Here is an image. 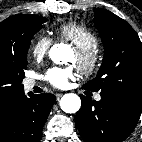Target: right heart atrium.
<instances>
[{"instance_id":"d8ad5b80","label":"right heart atrium","mask_w":142,"mask_h":142,"mask_svg":"<svg viewBox=\"0 0 142 142\" xmlns=\"http://www.w3.org/2000/svg\"><path fill=\"white\" fill-rule=\"evenodd\" d=\"M52 39L47 35H39L31 44L30 53L36 61H42L49 53Z\"/></svg>"}]
</instances>
